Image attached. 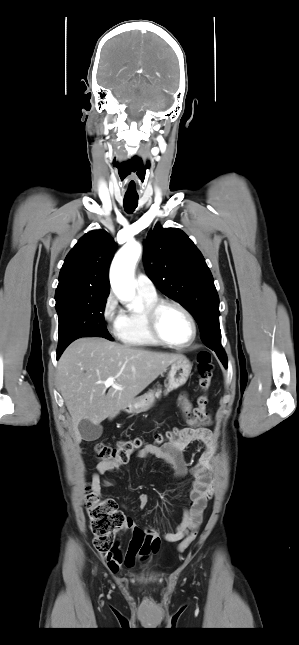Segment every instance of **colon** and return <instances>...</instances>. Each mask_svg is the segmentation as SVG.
<instances>
[{
    "label": "colon",
    "mask_w": 299,
    "mask_h": 645,
    "mask_svg": "<svg viewBox=\"0 0 299 645\" xmlns=\"http://www.w3.org/2000/svg\"><path fill=\"white\" fill-rule=\"evenodd\" d=\"M199 386L202 391L206 392L212 382L213 365L210 353L202 351L197 357ZM207 397L200 396L197 399V406L193 409L189 421L192 423L203 420L206 416ZM182 429H174L165 434H157L155 442L162 444L166 440H175L181 435ZM144 443L140 438L123 440L117 443L115 447L98 443L94 451L96 457L101 462H108L121 466L128 462L130 457L141 448ZM85 506L90 521V530L93 535V545L97 551L110 553L115 547L116 534L122 530L127 523V518L119 509L117 502L112 498H101L97 496L90 488L87 490ZM197 536V527L190 530L186 537L180 542L178 550L180 552L187 549Z\"/></svg>",
    "instance_id": "obj_1"
}]
</instances>
